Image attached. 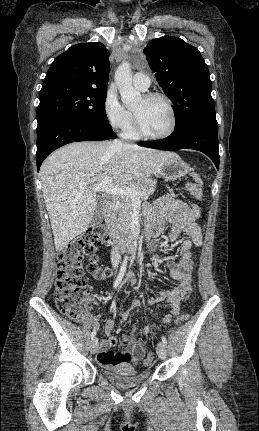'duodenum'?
I'll return each mask as SVG.
<instances>
[{
  "instance_id": "duodenum-1",
  "label": "duodenum",
  "mask_w": 259,
  "mask_h": 431,
  "mask_svg": "<svg viewBox=\"0 0 259 431\" xmlns=\"http://www.w3.org/2000/svg\"><path fill=\"white\" fill-rule=\"evenodd\" d=\"M113 208H114V201L110 200L104 208V218H105V225L109 229V238L108 242L113 245L119 246V248L127 253L133 252L137 248L136 240H135V231L133 233H119L114 227H113ZM89 322V319L86 320V323Z\"/></svg>"
}]
</instances>
